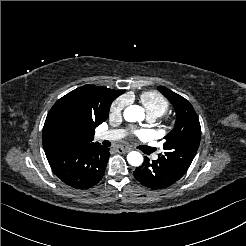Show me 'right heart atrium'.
I'll use <instances>...</instances> for the list:
<instances>
[{
    "label": "right heart atrium",
    "mask_w": 246,
    "mask_h": 246,
    "mask_svg": "<svg viewBox=\"0 0 246 246\" xmlns=\"http://www.w3.org/2000/svg\"><path fill=\"white\" fill-rule=\"evenodd\" d=\"M130 103L127 95L116 98L110 105L109 114L111 118H119L123 115L125 108Z\"/></svg>",
    "instance_id": "obj_1"
}]
</instances>
